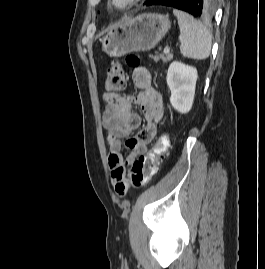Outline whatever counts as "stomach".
<instances>
[{"label":"stomach","instance_id":"1","mask_svg":"<svg viewBox=\"0 0 265 269\" xmlns=\"http://www.w3.org/2000/svg\"><path fill=\"white\" fill-rule=\"evenodd\" d=\"M170 26L167 15L158 13L138 15L111 29L102 40V49L113 57L151 50L166 35Z\"/></svg>","mask_w":265,"mask_h":269}]
</instances>
